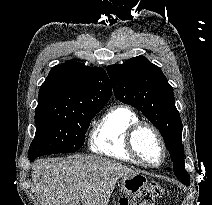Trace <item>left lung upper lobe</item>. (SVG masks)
<instances>
[{"mask_svg": "<svg viewBox=\"0 0 212 205\" xmlns=\"http://www.w3.org/2000/svg\"><path fill=\"white\" fill-rule=\"evenodd\" d=\"M107 72L116 98L140 110L161 132L176 177L189 185L181 141L183 126L175 107L173 88L161 69L144 56H137L123 64L108 66Z\"/></svg>", "mask_w": 212, "mask_h": 205, "instance_id": "5c2ea615", "label": "left lung upper lobe"}]
</instances>
